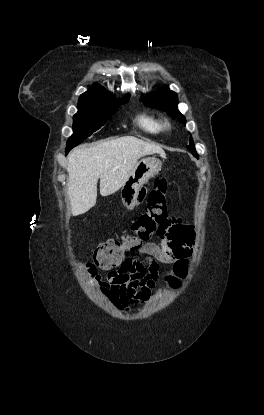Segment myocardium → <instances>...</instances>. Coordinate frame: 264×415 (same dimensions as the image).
Segmentation results:
<instances>
[{"label": "myocardium", "mask_w": 264, "mask_h": 415, "mask_svg": "<svg viewBox=\"0 0 264 415\" xmlns=\"http://www.w3.org/2000/svg\"><path fill=\"white\" fill-rule=\"evenodd\" d=\"M170 127V123L168 121L164 122V128H169Z\"/></svg>", "instance_id": "myocardium-1"}]
</instances>
